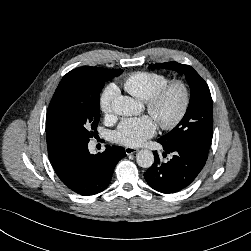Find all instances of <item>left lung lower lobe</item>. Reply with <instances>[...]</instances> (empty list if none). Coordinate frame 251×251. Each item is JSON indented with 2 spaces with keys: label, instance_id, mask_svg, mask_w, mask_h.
I'll return each mask as SVG.
<instances>
[{
  "label": "left lung lower lobe",
  "instance_id": "left-lung-lower-lobe-1",
  "mask_svg": "<svg viewBox=\"0 0 251 251\" xmlns=\"http://www.w3.org/2000/svg\"><path fill=\"white\" fill-rule=\"evenodd\" d=\"M166 153H172L173 158L164 163L159 155L154 153V164L144 173L147 183L155 190L169 194L176 193L188 187L203 169L208 152L195 144H178L167 147Z\"/></svg>",
  "mask_w": 251,
  "mask_h": 251
}]
</instances>
